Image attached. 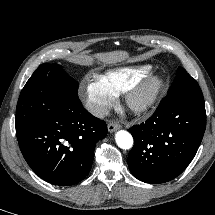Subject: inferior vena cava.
Listing matches in <instances>:
<instances>
[{"mask_svg":"<svg viewBox=\"0 0 215 215\" xmlns=\"http://www.w3.org/2000/svg\"><path fill=\"white\" fill-rule=\"evenodd\" d=\"M89 111L98 118H103L109 114V109L104 106H90Z\"/></svg>","mask_w":215,"mask_h":215,"instance_id":"1","label":"inferior vena cava"}]
</instances>
